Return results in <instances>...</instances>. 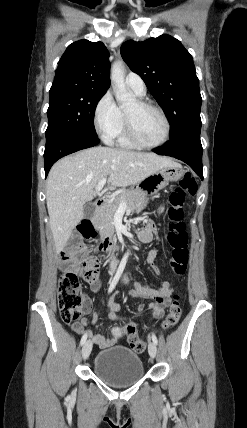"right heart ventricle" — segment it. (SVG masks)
Masks as SVG:
<instances>
[{"label":"right heart ventricle","instance_id":"1","mask_svg":"<svg viewBox=\"0 0 247 428\" xmlns=\"http://www.w3.org/2000/svg\"><path fill=\"white\" fill-rule=\"evenodd\" d=\"M122 117H123L122 126L120 128L119 133L117 134V136L115 138L116 144L122 148H127V149L135 148L136 145H134L127 136L123 113H122Z\"/></svg>","mask_w":247,"mask_h":428}]
</instances>
